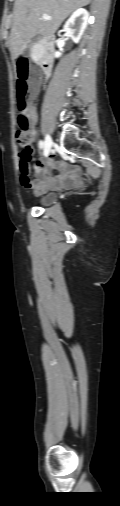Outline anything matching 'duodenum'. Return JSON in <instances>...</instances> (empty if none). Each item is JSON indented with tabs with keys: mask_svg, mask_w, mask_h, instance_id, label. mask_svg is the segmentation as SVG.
I'll return each mask as SVG.
<instances>
[{
	"mask_svg": "<svg viewBox=\"0 0 120 506\" xmlns=\"http://www.w3.org/2000/svg\"><path fill=\"white\" fill-rule=\"evenodd\" d=\"M37 43L39 44L41 50H42V57L40 60V68L44 75H48L51 71V67L54 61V40L52 37H45L37 40ZM21 57L27 56L26 50L20 51Z\"/></svg>",
	"mask_w": 120,
	"mask_h": 506,
	"instance_id": "410a0bca",
	"label": "duodenum"
}]
</instances>
